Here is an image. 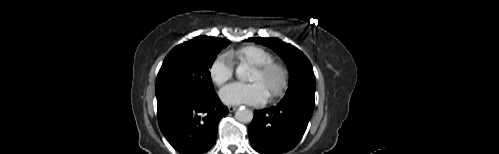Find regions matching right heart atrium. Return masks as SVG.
<instances>
[{"mask_svg": "<svg viewBox=\"0 0 499 154\" xmlns=\"http://www.w3.org/2000/svg\"><path fill=\"white\" fill-rule=\"evenodd\" d=\"M234 74L233 62L225 55L217 56L209 67V76L214 84L222 86Z\"/></svg>", "mask_w": 499, "mask_h": 154, "instance_id": "1", "label": "right heart atrium"}]
</instances>
